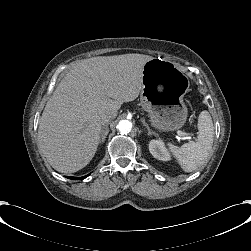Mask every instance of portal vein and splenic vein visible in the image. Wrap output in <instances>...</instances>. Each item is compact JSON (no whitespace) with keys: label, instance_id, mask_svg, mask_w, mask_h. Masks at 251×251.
<instances>
[{"label":"portal vein and splenic vein","instance_id":"portal-vein-and-splenic-vein-1","mask_svg":"<svg viewBox=\"0 0 251 251\" xmlns=\"http://www.w3.org/2000/svg\"><path fill=\"white\" fill-rule=\"evenodd\" d=\"M182 135L192 136V139H195V132L194 131H185V132H182L181 130H178L176 136H182ZM186 138H188V137H186Z\"/></svg>","mask_w":251,"mask_h":251}]
</instances>
